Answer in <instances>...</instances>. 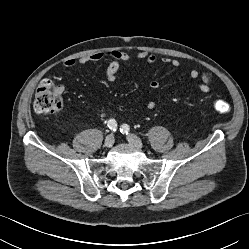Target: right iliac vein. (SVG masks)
I'll return each instance as SVG.
<instances>
[{"instance_id":"obj_1","label":"right iliac vein","mask_w":249,"mask_h":249,"mask_svg":"<svg viewBox=\"0 0 249 249\" xmlns=\"http://www.w3.org/2000/svg\"><path fill=\"white\" fill-rule=\"evenodd\" d=\"M114 141H115L114 135H113V134H109V135L105 138L104 146H105L106 148H110V147L113 146Z\"/></svg>"}]
</instances>
